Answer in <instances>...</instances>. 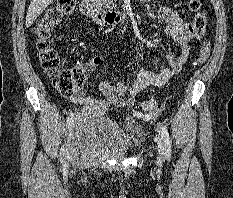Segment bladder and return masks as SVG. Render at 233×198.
I'll return each mask as SVG.
<instances>
[{
    "instance_id": "31cf9c89",
    "label": "bladder",
    "mask_w": 233,
    "mask_h": 198,
    "mask_svg": "<svg viewBox=\"0 0 233 198\" xmlns=\"http://www.w3.org/2000/svg\"><path fill=\"white\" fill-rule=\"evenodd\" d=\"M71 137L76 148L119 157L132 152L142 143L144 130L135 122L119 124L104 113L84 110L74 118Z\"/></svg>"
}]
</instances>
